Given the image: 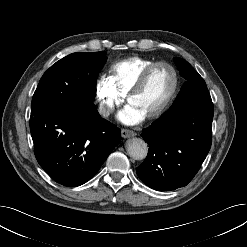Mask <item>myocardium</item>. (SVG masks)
<instances>
[{
	"label": "myocardium",
	"instance_id": "f54148a6",
	"mask_svg": "<svg viewBox=\"0 0 247 247\" xmlns=\"http://www.w3.org/2000/svg\"><path fill=\"white\" fill-rule=\"evenodd\" d=\"M159 66H166L172 71L173 85H172V89H171L168 97L166 98L165 102L156 111H154L153 113L146 116V119H148V120H153V119L159 118L161 115H163L168 110V108L173 103V101L177 95V92L179 89V83H180L179 74H178L177 69L172 64H170L166 61H157V62L150 64L141 72L138 79L136 80V82L134 83V85L132 86V88L130 89L128 94L126 95V101H127V103H129L130 100L134 96H136L137 94H139L141 92V90L143 89V87H144L149 75L151 74V72Z\"/></svg>",
	"mask_w": 247,
	"mask_h": 247
}]
</instances>
